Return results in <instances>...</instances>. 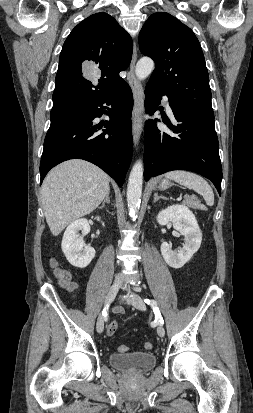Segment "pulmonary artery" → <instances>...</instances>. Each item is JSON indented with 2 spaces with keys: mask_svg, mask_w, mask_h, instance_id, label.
Listing matches in <instances>:
<instances>
[{
  "mask_svg": "<svg viewBox=\"0 0 253 413\" xmlns=\"http://www.w3.org/2000/svg\"><path fill=\"white\" fill-rule=\"evenodd\" d=\"M163 103H164V106H165L168 114L172 116L173 112H172V109L170 107L168 97H166V96L163 97Z\"/></svg>",
  "mask_w": 253,
  "mask_h": 413,
  "instance_id": "obj_1",
  "label": "pulmonary artery"
}]
</instances>
